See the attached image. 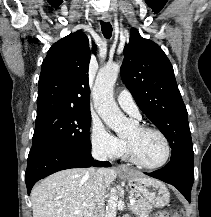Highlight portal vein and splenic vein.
<instances>
[{
    "instance_id": "obj_1",
    "label": "portal vein and splenic vein",
    "mask_w": 211,
    "mask_h": 217,
    "mask_svg": "<svg viewBox=\"0 0 211 217\" xmlns=\"http://www.w3.org/2000/svg\"><path fill=\"white\" fill-rule=\"evenodd\" d=\"M135 203V198H130V204H134ZM79 211H76V213H78Z\"/></svg>"
}]
</instances>
